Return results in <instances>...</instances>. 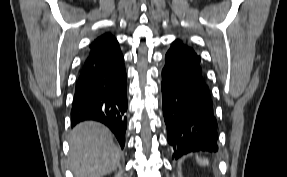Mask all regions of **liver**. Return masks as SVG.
<instances>
[{
	"mask_svg": "<svg viewBox=\"0 0 287 177\" xmlns=\"http://www.w3.org/2000/svg\"><path fill=\"white\" fill-rule=\"evenodd\" d=\"M69 161L75 177H102L116 170L121 151L104 125L87 121L70 134Z\"/></svg>",
	"mask_w": 287,
	"mask_h": 177,
	"instance_id": "1",
	"label": "liver"
}]
</instances>
